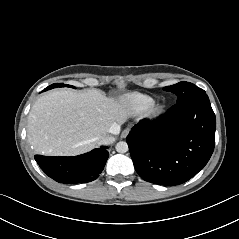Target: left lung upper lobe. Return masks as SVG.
Returning a JSON list of instances; mask_svg holds the SVG:
<instances>
[{
    "label": "left lung upper lobe",
    "instance_id": "obj_1",
    "mask_svg": "<svg viewBox=\"0 0 239 239\" xmlns=\"http://www.w3.org/2000/svg\"><path fill=\"white\" fill-rule=\"evenodd\" d=\"M165 91H170L177 96V102L184 101L193 96H196L201 93H205V91L196 85L190 82H179L175 85H171L163 88Z\"/></svg>",
    "mask_w": 239,
    "mask_h": 239
}]
</instances>
